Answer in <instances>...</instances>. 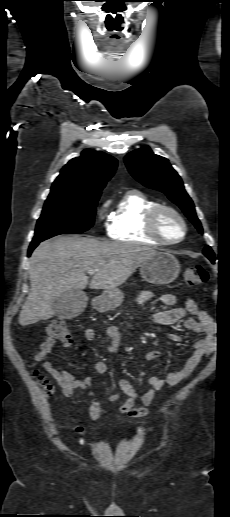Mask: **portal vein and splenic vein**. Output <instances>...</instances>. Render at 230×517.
I'll return each instance as SVG.
<instances>
[{"instance_id": "obj_1", "label": "portal vein and splenic vein", "mask_w": 230, "mask_h": 517, "mask_svg": "<svg viewBox=\"0 0 230 517\" xmlns=\"http://www.w3.org/2000/svg\"><path fill=\"white\" fill-rule=\"evenodd\" d=\"M97 270L96 269H89L87 271L88 274L93 275Z\"/></svg>"}]
</instances>
